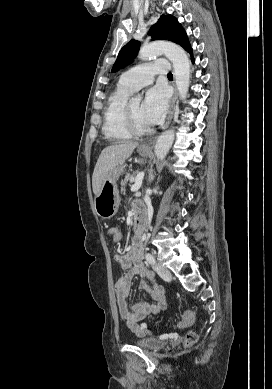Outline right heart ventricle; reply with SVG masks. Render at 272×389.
<instances>
[{"label": "right heart ventricle", "mask_w": 272, "mask_h": 389, "mask_svg": "<svg viewBox=\"0 0 272 389\" xmlns=\"http://www.w3.org/2000/svg\"><path fill=\"white\" fill-rule=\"evenodd\" d=\"M132 92L119 83L108 98L104 111L103 133L109 140L123 141L132 137L124 120L125 108Z\"/></svg>", "instance_id": "1"}]
</instances>
